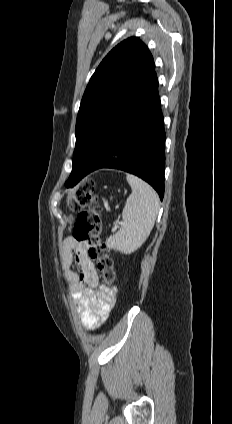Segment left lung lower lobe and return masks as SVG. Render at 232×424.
Wrapping results in <instances>:
<instances>
[{"mask_svg": "<svg viewBox=\"0 0 232 424\" xmlns=\"http://www.w3.org/2000/svg\"><path fill=\"white\" fill-rule=\"evenodd\" d=\"M165 131L153 71L107 127L93 148L80 177H69L73 187L87 174L99 168H114L134 174L164 195Z\"/></svg>", "mask_w": 232, "mask_h": 424, "instance_id": "0a47b994", "label": "left lung lower lobe"}]
</instances>
